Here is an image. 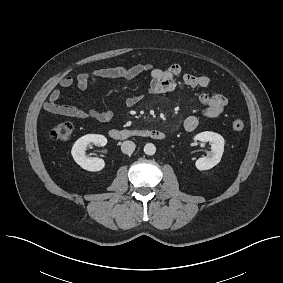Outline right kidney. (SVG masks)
Masks as SVG:
<instances>
[{"mask_svg":"<svg viewBox=\"0 0 283 283\" xmlns=\"http://www.w3.org/2000/svg\"><path fill=\"white\" fill-rule=\"evenodd\" d=\"M94 143L100 146L107 144V139L99 134H87L79 138L73 145L71 153L75 162L87 171H100L105 167V161L98 157H87L86 147L88 144Z\"/></svg>","mask_w":283,"mask_h":283,"instance_id":"obj_1","label":"right kidney"}]
</instances>
